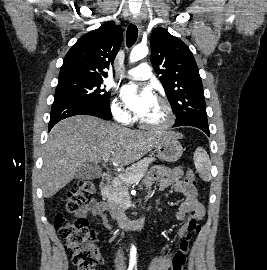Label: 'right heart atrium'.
Here are the masks:
<instances>
[{
	"label": "right heart atrium",
	"mask_w": 267,
	"mask_h": 270,
	"mask_svg": "<svg viewBox=\"0 0 267 270\" xmlns=\"http://www.w3.org/2000/svg\"><path fill=\"white\" fill-rule=\"evenodd\" d=\"M111 110L113 116L122 123H129L132 119L131 113L118 98L112 101Z\"/></svg>",
	"instance_id": "obj_1"
}]
</instances>
